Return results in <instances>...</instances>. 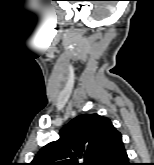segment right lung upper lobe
<instances>
[{"mask_svg":"<svg viewBox=\"0 0 154 165\" xmlns=\"http://www.w3.org/2000/svg\"><path fill=\"white\" fill-rule=\"evenodd\" d=\"M120 133L98 114H83L65 125L59 139L44 146L31 165H98Z\"/></svg>","mask_w":154,"mask_h":165,"instance_id":"cb5924a9","label":"right lung upper lobe"}]
</instances>
